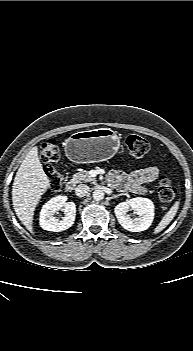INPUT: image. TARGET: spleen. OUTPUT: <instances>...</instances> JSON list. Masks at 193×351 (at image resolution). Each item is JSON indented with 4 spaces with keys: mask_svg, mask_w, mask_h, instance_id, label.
<instances>
[{
    "mask_svg": "<svg viewBox=\"0 0 193 351\" xmlns=\"http://www.w3.org/2000/svg\"><path fill=\"white\" fill-rule=\"evenodd\" d=\"M179 208V201H176L174 205L170 208V210L164 215L162 220L154 229V233L157 234L161 232L167 225L173 220Z\"/></svg>",
    "mask_w": 193,
    "mask_h": 351,
    "instance_id": "obj_1",
    "label": "spleen"
}]
</instances>
